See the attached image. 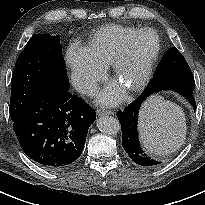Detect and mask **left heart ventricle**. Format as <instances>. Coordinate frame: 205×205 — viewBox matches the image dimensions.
Segmentation results:
<instances>
[{
    "label": "left heart ventricle",
    "instance_id": "left-heart-ventricle-1",
    "mask_svg": "<svg viewBox=\"0 0 205 205\" xmlns=\"http://www.w3.org/2000/svg\"><path fill=\"white\" fill-rule=\"evenodd\" d=\"M156 47V38L153 34L142 35L134 44L133 56L128 60L121 72L117 82L122 87L134 83L138 80L142 72V64L152 54Z\"/></svg>",
    "mask_w": 205,
    "mask_h": 205
}]
</instances>
